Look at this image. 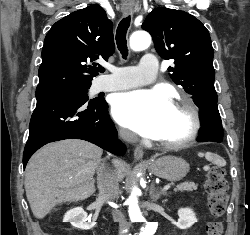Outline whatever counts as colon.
<instances>
[{
    "label": "colon",
    "instance_id": "1",
    "mask_svg": "<svg viewBox=\"0 0 250 235\" xmlns=\"http://www.w3.org/2000/svg\"><path fill=\"white\" fill-rule=\"evenodd\" d=\"M225 169L213 167L206 176L204 188L207 193V202L210 214L214 218L206 224L207 235H222L223 224L220 218L228 203V182Z\"/></svg>",
    "mask_w": 250,
    "mask_h": 235
}]
</instances>
